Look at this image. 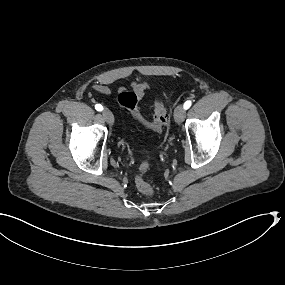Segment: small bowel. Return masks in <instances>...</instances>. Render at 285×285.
Masks as SVG:
<instances>
[{"label":"small bowel","mask_w":285,"mask_h":285,"mask_svg":"<svg viewBox=\"0 0 285 285\" xmlns=\"http://www.w3.org/2000/svg\"><path fill=\"white\" fill-rule=\"evenodd\" d=\"M131 87L139 98H141L144 95L147 89L146 83L142 81L133 82L131 84ZM94 88L96 91L104 95H108L110 92L109 88L105 85H96Z\"/></svg>","instance_id":"1"}]
</instances>
